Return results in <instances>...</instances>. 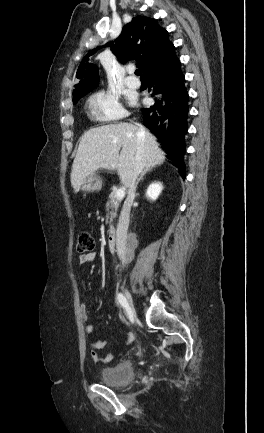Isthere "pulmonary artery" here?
<instances>
[{
  "label": "pulmonary artery",
  "instance_id": "pulmonary-artery-1",
  "mask_svg": "<svg viewBox=\"0 0 264 433\" xmlns=\"http://www.w3.org/2000/svg\"><path fill=\"white\" fill-rule=\"evenodd\" d=\"M130 73H132L131 70ZM126 85L130 88L136 89L140 87V81L134 76H129L126 78Z\"/></svg>",
  "mask_w": 264,
  "mask_h": 433
}]
</instances>
